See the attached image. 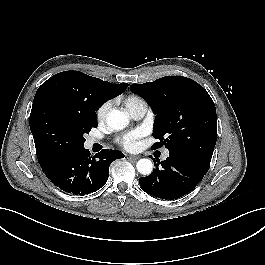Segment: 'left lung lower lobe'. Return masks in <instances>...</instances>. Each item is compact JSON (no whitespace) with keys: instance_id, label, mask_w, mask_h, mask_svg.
Listing matches in <instances>:
<instances>
[{"instance_id":"1","label":"left lung lower lobe","mask_w":265,"mask_h":265,"mask_svg":"<svg viewBox=\"0 0 265 265\" xmlns=\"http://www.w3.org/2000/svg\"><path fill=\"white\" fill-rule=\"evenodd\" d=\"M153 161L157 168L149 176L139 178V184L146 193L165 200L177 199L189 193L209 169V166L187 157L169 155L162 162Z\"/></svg>"}]
</instances>
